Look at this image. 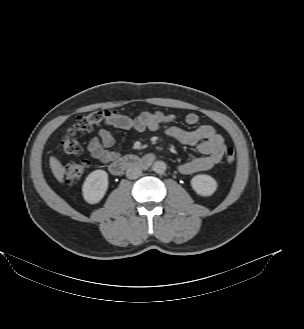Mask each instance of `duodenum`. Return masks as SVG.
<instances>
[{"instance_id":"1","label":"duodenum","mask_w":304,"mask_h":329,"mask_svg":"<svg viewBox=\"0 0 304 329\" xmlns=\"http://www.w3.org/2000/svg\"><path fill=\"white\" fill-rule=\"evenodd\" d=\"M153 161L154 155L152 154H147L143 157H138L136 155H127L117 160H113V162L109 166V169L113 175L119 176L123 174L126 170L131 168H145L149 166Z\"/></svg>"}]
</instances>
